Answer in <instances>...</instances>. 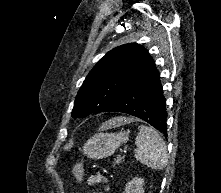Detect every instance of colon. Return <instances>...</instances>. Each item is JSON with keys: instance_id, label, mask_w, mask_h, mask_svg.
<instances>
[{"instance_id": "obj_1", "label": "colon", "mask_w": 221, "mask_h": 193, "mask_svg": "<svg viewBox=\"0 0 221 193\" xmlns=\"http://www.w3.org/2000/svg\"><path fill=\"white\" fill-rule=\"evenodd\" d=\"M83 169H84L83 161L80 160L75 164L73 169L74 178L77 183L81 182Z\"/></svg>"}]
</instances>
